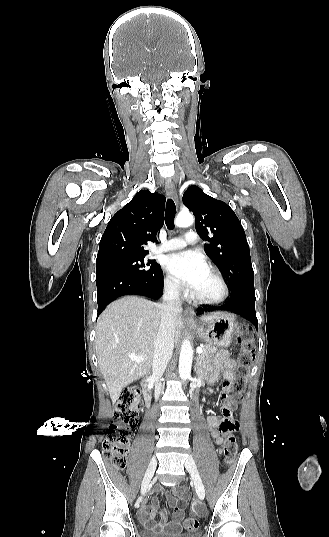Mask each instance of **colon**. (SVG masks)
I'll list each match as a JSON object with an SVG mask.
<instances>
[{
  "label": "colon",
  "mask_w": 329,
  "mask_h": 537,
  "mask_svg": "<svg viewBox=\"0 0 329 537\" xmlns=\"http://www.w3.org/2000/svg\"><path fill=\"white\" fill-rule=\"evenodd\" d=\"M239 343L242 352L239 355V368L230 389L223 392L222 412L225 416L221 423L224 434L222 449L225 460L232 463L238 451V444L234 432L238 424L232 418V410L240 402L241 394L246 388L247 378L254 354L253 332L250 329L239 334ZM140 392L137 389H129L121 393L115 405L114 418L109 426L108 434L103 442V455L118 468L126 464V456L130 446L132 430L137 423L136 409L139 403ZM185 528L193 530L198 526L196 518L189 517L184 522Z\"/></svg>",
  "instance_id": "colon-1"
}]
</instances>
